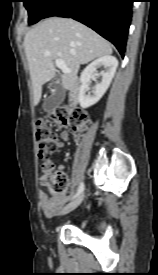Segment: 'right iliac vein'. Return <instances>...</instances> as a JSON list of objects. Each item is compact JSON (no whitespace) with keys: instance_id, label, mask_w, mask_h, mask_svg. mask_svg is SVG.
<instances>
[{"instance_id":"obj_1","label":"right iliac vein","mask_w":158,"mask_h":275,"mask_svg":"<svg viewBox=\"0 0 158 275\" xmlns=\"http://www.w3.org/2000/svg\"><path fill=\"white\" fill-rule=\"evenodd\" d=\"M84 198V194L79 195L76 199H74L72 202H70L69 204H67L63 210H62V214H67L70 211L74 210L75 208H77L81 202L83 201Z\"/></svg>"}]
</instances>
